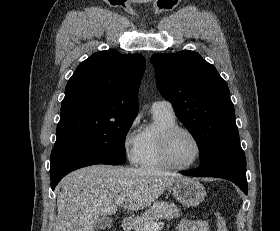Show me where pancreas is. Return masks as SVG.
<instances>
[{
	"instance_id": "cf45deb5",
	"label": "pancreas",
	"mask_w": 280,
	"mask_h": 231,
	"mask_svg": "<svg viewBox=\"0 0 280 231\" xmlns=\"http://www.w3.org/2000/svg\"><path fill=\"white\" fill-rule=\"evenodd\" d=\"M180 209L176 207L175 203H168V201H154L147 211H143L139 217H134L130 225L134 231H147V223H156L158 219H173V217H180ZM130 231V229H125Z\"/></svg>"
}]
</instances>
